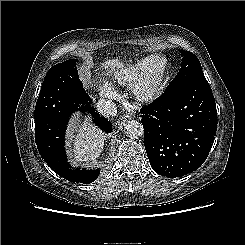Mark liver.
<instances>
[{
	"label": "liver",
	"mask_w": 245,
	"mask_h": 245,
	"mask_svg": "<svg viewBox=\"0 0 245 245\" xmlns=\"http://www.w3.org/2000/svg\"><path fill=\"white\" fill-rule=\"evenodd\" d=\"M110 72L126 71L122 61L111 58L101 64ZM105 135L87 120L81 121L76 117L67 135L69 143H73L71 158L75 163H88L95 161L104 146Z\"/></svg>",
	"instance_id": "1"
}]
</instances>
